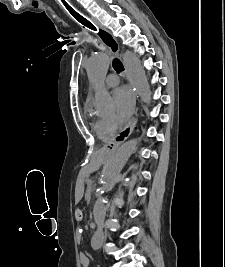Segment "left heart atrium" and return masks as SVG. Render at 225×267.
<instances>
[{
	"label": "left heart atrium",
	"mask_w": 225,
	"mask_h": 267,
	"mask_svg": "<svg viewBox=\"0 0 225 267\" xmlns=\"http://www.w3.org/2000/svg\"><path fill=\"white\" fill-rule=\"evenodd\" d=\"M114 101L116 106V119L119 122L126 120L133 109L134 97L127 87H119L114 91Z\"/></svg>",
	"instance_id": "obj_1"
}]
</instances>
